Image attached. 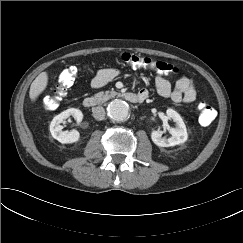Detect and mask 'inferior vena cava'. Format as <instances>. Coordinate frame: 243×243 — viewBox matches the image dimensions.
I'll list each match as a JSON object with an SVG mask.
<instances>
[{
    "label": "inferior vena cava",
    "mask_w": 243,
    "mask_h": 243,
    "mask_svg": "<svg viewBox=\"0 0 243 243\" xmlns=\"http://www.w3.org/2000/svg\"><path fill=\"white\" fill-rule=\"evenodd\" d=\"M93 116L96 120H103L105 117V110L102 106L93 109Z\"/></svg>",
    "instance_id": "obj_1"
}]
</instances>
